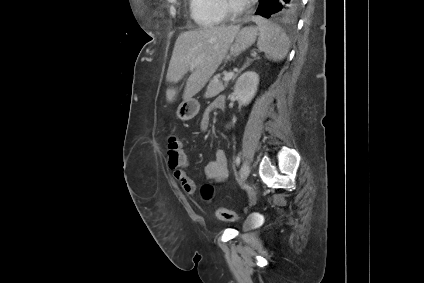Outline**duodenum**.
I'll return each mask as SVG.
<instances>
[{
  "label": "duodenum",
  "mask_w": 424,
  "mask_h": 283,
  "mask_svg": "<svg viewBox=\"0 0 424 283\" xmlns=\"http://www.w3.org/2000/svg\"><path fill=\"white\" fill-rule=\"evenodd\" d=\"M224 106H225V101H224V100H222V101H221V103H220V107H221V108H224Z\"/></svg>",
  "instance_id": "410a0bca"
}]
</instances>
